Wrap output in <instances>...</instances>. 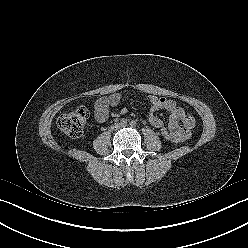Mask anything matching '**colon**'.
<instances>
[{
  "label": "colon",
  "mask_w": 248,
  "mask_h": 248,
  "mask_svg": "<svg viewBox=\"0 0 248 248\" xmlns=\"http://www.w3.org/2000/svg\"><path fill=\"white\" fill-rule=\"evenodd\" d=\"M88 113L84 108L60 114L57 119L59 132L71 139H78L83 135ZM159 133L162 138L171 143L177 142L176 135L168 128L161 127Z\"/></svg>",
  "instance_id": "colon-1"
}]
</instances>
